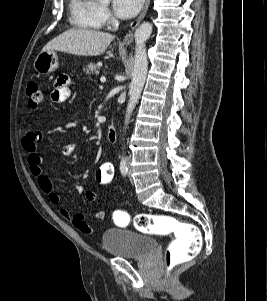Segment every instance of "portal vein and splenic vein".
Masks as SVG:
<instances>
[{"instance_id": "portal-vein-and-splenic-vein-1", "label": "portal vein and splenic vein", "mask_w": 267, "mask_h": 301, "mask_svg": "<svg viewBox=\"0 0 267 301\" xmlns=\"http://www.w3.org/2000/svg\"><path fill=\"white\" fill-rule=\"evenodd\" d=\"M100 81L104 83V82L106 81V78H105L104 76H102V77L100 78Z\"/></svg>"}]
</instances>
